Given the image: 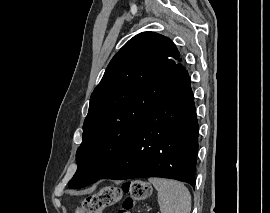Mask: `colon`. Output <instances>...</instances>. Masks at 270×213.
<instances>
[{"instance_id":"1","label":"colon","mask_w":270,"mask_h":213,"mask_svg":"<svg viewBox=\"0 0 270 213\" xmlns=\"http://www.w3.org/2000/svg\"><path fill=\"white\" fill-rule=\"evenodd\" d=\"M127 193L121 208L117 213H133L137 202L151 195V186L140 179L131 180L124 186ZM122 190L117 187L107 186L98 193L88 196L75 210V213H102L109 206L114 205L121 197Z\"/></svg>"}]
</instances>
